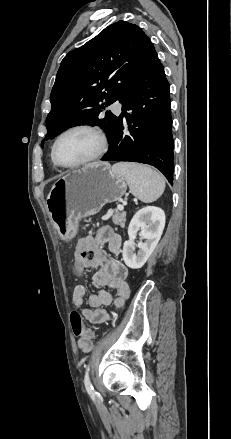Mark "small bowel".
<instances>
[{
    "label": "small bowel",
    "mask_w": 231,
    "mask_h": 439,
    "mask_svg": "<svg viewBox=\"0 0 231 439\" xmlns=\"http://www.w3.org/2000/svg\"><path fill=\"white\" fill-rule=\"evenodd\" d=\"M105 245L114 255H120L122 252L121 237L109 226H103L97 230L95 235H88L81 239L74 253V260L81 257L86 269H96L92 281L100 289L88 295L89 308L82 307L86 298V283H75L72 292L73 304L81 308L82 315L91 323L106 322L110 316L103 307L113 305L115 309H118L124 305L130 294L126 281L128 268L118 259L107 258L104 252ZM111 290L115 292V297L112 296ZM77 348L88 353L93 348V342L79 338Z\"/></svg>",
    "instance_id": "c3829d8e"
}]
</instances>
